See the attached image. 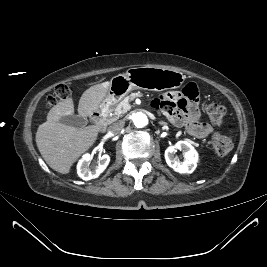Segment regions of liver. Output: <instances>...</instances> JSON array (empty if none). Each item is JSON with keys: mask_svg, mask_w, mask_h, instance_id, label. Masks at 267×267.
Instances as JSON below:
<instances>
[{"mask_svg": "<svg viewBox=\"0 0 267 267\" xmlns=\"http://www.w3.org/2000/svg\"><path fill=\"white\" fill-rule=\"evenodd\" d=\"M110 82L91 86L84 91L78 104L79 116L88 117L99 107L107 94ZM74 114L72 98H66L53 106L47 121L39 125L36 133L37 147L45 162L55 171L68 174L73 163L97 140L100 128L89 125L75 128L60 123V119Z\"/></svg>", "mask_w": 267, "mask_h": 267, "instance_id": "liver-1", "label": "liver"}]
</instances>
